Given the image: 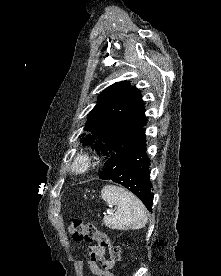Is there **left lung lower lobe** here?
<instances>
[{"label": "left lung lower lobe", "mask_w": 221, "mask_h": 276, "mask_svg": "<svg viewBox=\"0 0 221 276\" xmlns=\"http://www.w3.org/2000/svg\"><path fill=\"white\" fill-rule=\"evenodd\" d=\"M145 128L132 146L112 155L104 164L99 178L119 183L132 191L152 211L153 192L150 182V159L146 154Z\"/></svg>", "instance_id": "obj_1"}]
</instances>
